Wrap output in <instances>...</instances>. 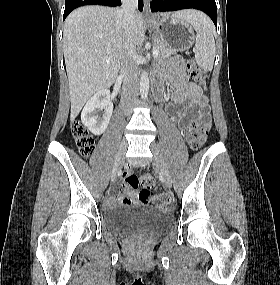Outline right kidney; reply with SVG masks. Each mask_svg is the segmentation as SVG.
<instances>
[{
	"instance_id": "right-kidney-1",
	"label": "right kidney",
	"mask_w": 280,
	"mask_h": 285,
	"mask_svg": "<svg viewBox=\"0 0 280 285\" xmlns=\"http://www.w3.org/2000/svg\"><path fill=\"white\" fill-rule=\"evenodd\" d=\"M97 110H104L101 117L97 115ZM112 113L113 103L110 92L103 89L87 101L81 113V120L94 135H101L106 130Z\"/></svg>"
}]
</instances>
